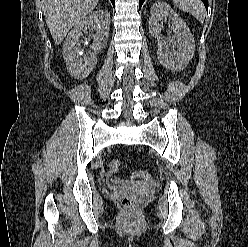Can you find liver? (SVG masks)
Instances as JSON below:
<instances>
[{"instance_id":"6515ba94","label":"liver","mask_w":248,"mask_h":247,"mask_svg":"<svg viewBox=\"0 0 248 247\" xmlns=\"http://www.w3.org/2000/svg\"><path fill=\"white\" fill-rule=\"evenodd\" d=\"M99 0H43L47 26L56 45L97 6Z\"/></svg>"}]
</instances>
